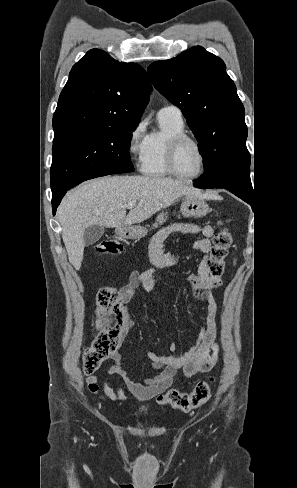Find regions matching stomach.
<instances>
[{"label": "stomach", "mask_w": 297, "mask_h": 488, "mask_svg": "<svg viewBox=\"0 0 297 488\" xmlns=\"http://www.w3.org/2000/svg\"><path fill=\"white\" fill-rule=\"evenodd\" d=\"M180 212L184 217L202 218L210 212L209 205L195 195H185L180 207ZM116 233L126 239L141 238L147 234L146 228L142 226H120Z\"/></svg>", "instance_id": "0dacf381"}]
</instances>
